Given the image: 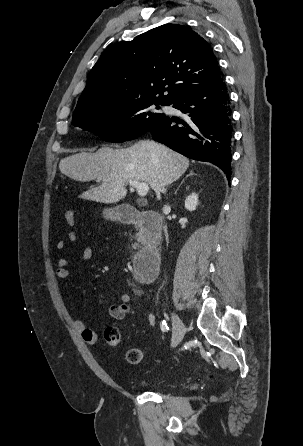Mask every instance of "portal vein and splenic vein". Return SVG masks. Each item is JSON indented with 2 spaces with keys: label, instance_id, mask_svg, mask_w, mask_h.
I'll use <instances>...</instances> for the list:
<instances>
[{
  "label": "portal vein and splenic vein",
  "instance_id": "18ae733b",
  "mask_svg": "<svg viewBox=\"0 0 303 446\" xmlns=\"http://www.w3.org/2000/svg\"><path fill=\"white\" fill-rule=\"evenodd\" d=\"M129 185L133 188H136L140 197L146 196L149 191V186L146 182L129 181Z\"/></svg>",
  "mask_w": 303,
  "mask_h": 446
}]
</instances>
